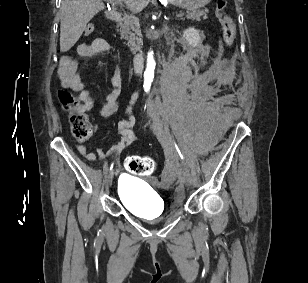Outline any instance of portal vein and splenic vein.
Returning <instances> with one entry per match:
<instances>
[{
    "instance_id": "obj_1",
    "label": "portal vein and splenic vein",
    "mask_w": 308,
    "mask_h": 283,
    "mask_svg": "<svg viewBox=\"0 0 308 283\" xmlns=\"http://www.w3.org/2000/svg\"><path fill=\"white\" fill-rule=\"evenodd\" d=\"M108 2H110V3H114V2H116L115 0H107ZM116 3H119L120 5H122V3H121V1H117ZM184 15V13L183 12H181V13H179V14H177V16L179 17V16H183Z\"/></svg>"
}]
</instances>
